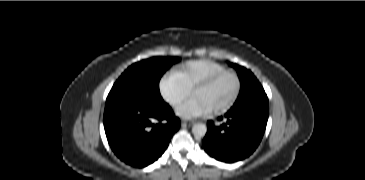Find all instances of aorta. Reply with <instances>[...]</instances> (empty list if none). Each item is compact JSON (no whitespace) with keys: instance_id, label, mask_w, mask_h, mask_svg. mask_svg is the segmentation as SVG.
I'll list each match as a JSON object with an SVG mask.
<instances>
[{"instance_id":"obj_1","label":"aorta","mask_w":365,"mask_h":180,"mask_svg":"<svg viewBox=\"0 0 365 180\" xmlns=\"http://www.w3.org/2000/svg\"><path fill=\"white\" fill-rule=\"evenodd\" d=\"M207 132V126L204 123H195L192 126V133L195 137H203Z\"/></svg>"}]
</instances>
